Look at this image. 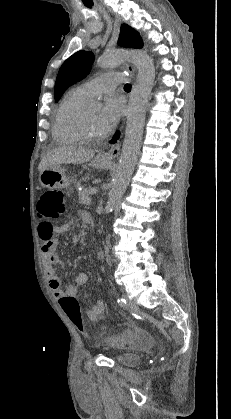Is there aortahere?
<instances>
[{
	"instance_id": "obj_1",
	"label": "aorta",
	"mask_w": 231,
	"mask_h": 419,
	"mask_svg": "<svg viewBox=\"0 0 231 419\" xmlns=\"http://www.w3.org/2000/svg\"><path fill=\"white\" fill-rule=\"evenodd\" d=\"M130 59L138 70L132 88L126 121L125 138L106 209L112 210L125 192L133 174L142 143L145 115L155 79V67L150 56L143 51L115 50L98 58L101 68H113Z\"/></svg>"
}]
</instances>
